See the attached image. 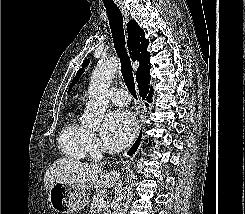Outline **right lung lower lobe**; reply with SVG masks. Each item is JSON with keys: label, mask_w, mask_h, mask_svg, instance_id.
<instances>
[{"label": "right lung lower lobe", "mask_w": 245, "mask_h": 214, "mask_svg": "<svg viewBox=\"0 0 245 214\" xmlns=\"http://www.w3.org/2000/svg\"><path fill=\"white\" fill-rule=\"evenodd\" d=\"M150 74L149 72L142 76V78L137 81L140 97L145 100L146 105L152 102V86L150 85Z\"/></svg>", "instance_id": "obj_1"}]
</instances>
